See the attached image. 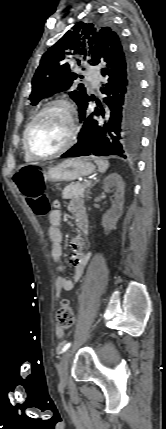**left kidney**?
Wrapping results in <instances>:
<instances>
[{
  "mask_svg": "<svg viewBox=\"0 0 166 429\" xmlns=\"http://www.w3.org/2000/svg\"><path fill=\"white\" fill-rule=\"evenodd\" d=\"M112 188H115V201L111 209L108 210L102 218V226L106 232H110L115 228L118 219L123 213L125 184L122 180V177L117 173H112L104 179V191L107 193H111Z\"/></svg>",
  "mask_w": 166,
  "mask_h": 429,
  "instance_id": "1",
  "label": "left kidney"
}]
</instances>
